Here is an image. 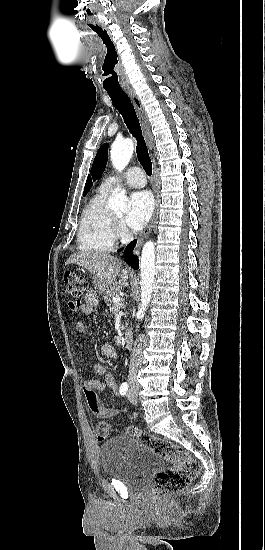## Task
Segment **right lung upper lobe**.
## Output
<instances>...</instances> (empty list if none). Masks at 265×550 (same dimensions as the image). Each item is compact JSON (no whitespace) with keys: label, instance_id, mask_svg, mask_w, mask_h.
<instances>
[{"label":"right lung upper lobe","instance_id":"obj_1","mask_svg":"<svg viewBox=\"0 0 265 550\" xmlns=\"http://www.w3.org/2000/svg\"><path fill=\"white\" fill-rule=\"evenodd\" d=\"M92 186V182H91V177L90 175L88 176V179H87V182H86V185H85V189H84V196L88 193V191L90 190Z\"/></svg>","mask_w":265,"mask_h":550}]
</instances>
